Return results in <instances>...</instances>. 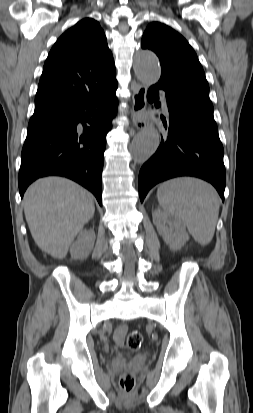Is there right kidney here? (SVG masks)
<instances>
[{
    "mask_svg": "<svg viewBox=\"0 0 253 413\" xmlns=\"http://www.w3.org/2000/svg\"><path fill=\"white\" fill-rule=\"evenodd\" d=\"M95 242L94 230H83L79 233L77 240L70 247L73 259H86L93 250Z\"/></svg>",
    "mask_w": 253,
    "mask_h": 413,
    "instance_id": "1",
    "label": "right kidney"
}]
</instances>
